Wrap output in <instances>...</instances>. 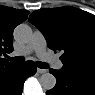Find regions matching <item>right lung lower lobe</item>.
<instances>
[{"label":"right lung lower lobe","mask_w":95,"mask_h":95,"mask_svg":"<svg viewBox=\"0 0 95 95\" xmlns=\"http://www.w3.org/2000/svg\"><path fill=\"white\" fill-rule=\"evenodd\" d=\"M35 72L36 66L32 61L18 64L0 78V95H21L24 81Z\"/></svg>","instance_id":"obj_1"}]
</instances>
